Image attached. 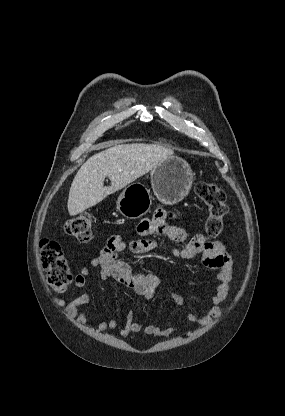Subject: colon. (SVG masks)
Masks as SVG:
<instances>
[{
  "label": "colon",
  "instance_id": "colon-1",
  "mask_svg": "<svg viewBox=\"0 0 285 416\" xmlns=\"http://www.w3.org/2000/svg\"><path fill=\"white\" fill-rule=\"evenodd\" d=\"M196 195L207 207L205 231L210 238H217L224 231V216L227 213L226 196L222 189L213 183L199 182ZM94 218L84 213L65 224L67 234L80 242H87L92 235ZM41 261L47 270L50 286L56 291L66 290L72 282L71 265L61 246L53 240L41 242Z\"/></svg>",
  "mask_w": 285,
  "mask_h": 416
}]
</instances>
